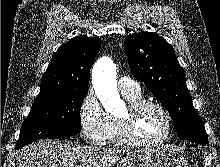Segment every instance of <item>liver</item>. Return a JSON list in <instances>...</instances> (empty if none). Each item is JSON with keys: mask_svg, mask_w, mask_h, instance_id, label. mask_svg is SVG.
Listing matches in <instances>:
<instances>
[{"mask_svg": "<svg viewBox=\"0 0 220 167\" xmlns=\"http://www.w3.org/2000/svg\"><path fill=\"white\" fill-rule=\"evenodd\" d=\"M126 149L38 140L17 152V167H113Z\"/></svg>", "mask_w": 220, "mask_h": 167, "instance_id": "6515ba94", "label": "liver"}]
</instances>
